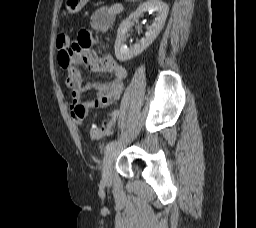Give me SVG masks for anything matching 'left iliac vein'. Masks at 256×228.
I'll return each instance as SVG.
<instances>
[{
  "mask_svg": "<svg viewBox=\"0 0 256 228\" xmlns=\"http://www.w3.org/2000/svg\"><path fill=\"white\" fill-rule=\"evenodd\" d=\"M116 145L112 147L104 156L103 159V171H102V183L104 185H110L112 182V163L116 156Z\"/></svg>",
  "mask_w": 256,
  "mask_h": 228,
  "instance_id": "obj_1",
  "label": "left iliac vein"
}]
</instances>
